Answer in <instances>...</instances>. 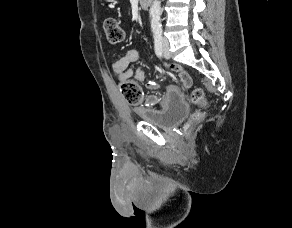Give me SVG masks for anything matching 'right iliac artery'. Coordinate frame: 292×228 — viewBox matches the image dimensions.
Returning <instances> with one entry per match:
<instances>
[{
    "label": "right iliac artery",
    "mask_w": 292,
    "mask_h": 228,
    "mask_svg": "<svg viewBox=\"0 0 292 228\" xmlns=\"http://www.w3.org/2000/svg\"><path fill=\"white\" fill-rule=\"evenodd\" d=\"M154 49H155L156 55L161 58L163 55L162 37L159 34L154 36Z\"/></svg>",
    "instance_id": "1"
}]
</instances>
